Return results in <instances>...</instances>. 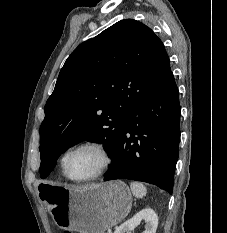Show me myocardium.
<instances>
[{
    "label": "myocardium",
    "mask_w": 227,
    "mask_h": 233,
    "mask_svg": "<svg viewBox=\"0 0 227 233\" xmlns=\"http://www.w3.org/2000/svg\"><path fill=\"white\" fill-rule=\"evenodd\" d=\"M84 148H91V149L98 151L102 157V165L98 169V171L95 172L93 175L86 177V178H82V179H75L69 173V168H68L69 159L75 152H77L78 150L84 149ZM111 163H112L111 153H110L109 149L103 143L98 142V141L83 142V143L78 144L75 147L71 148L67 152L65 160H64V175L70 181H73L76 183H85V182L93 181V180L98 179L102 175H104L107 172V170L109 169V167L111 166Z\"/></svg>",
    "instance_id": "1"
}]
</instances>
